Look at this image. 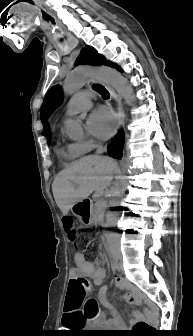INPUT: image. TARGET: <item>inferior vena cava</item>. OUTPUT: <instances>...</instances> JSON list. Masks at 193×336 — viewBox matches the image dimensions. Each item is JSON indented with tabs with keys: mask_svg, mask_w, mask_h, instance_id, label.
I'll return each instance as SVG.
<instances>
[{
	"mask_svg": "<svg viewBox=\"0 0 193 336\" xmlns=\"http://www.w3.org/2000/svg\"><path fill=\"white\" fill-rule=\"evenodd\" d=\"M105 151V148L103 146H98L96 150V154H101Z\"/></svg>",
	"mask_w": 193,
	"mask_h": 336,
	"instance_id": "602c4592",
	"label": "inferior vena cava"
}]
</instances>
